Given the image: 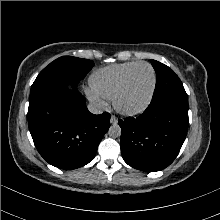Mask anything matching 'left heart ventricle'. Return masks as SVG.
<instances>
[{
	"label": "left heart ventricle",
	"instance_id": "b2bd125f",
	"mask_svg": "<svg viewBox=\"0 0 220 220\" xmlns=\"http://www.w3.org/2000/svg\"><path fill=\"white\" fill-rule=\"evenodd\" d=\"M152 86V72L147 66L138 67L132 74L128 86L120 99L126 109L140 106L147 98Z\"/></svg>",
	"mask_w": 220,
	"mask_h": 220
}]
</instances>
